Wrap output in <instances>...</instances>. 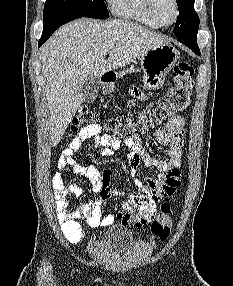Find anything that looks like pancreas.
Segmentation results:
<instances>
[{
    "label": "pancreas",
    "instance_id": "cf45deb5",
    "mask_svg": "<svg viewBox=\"0 0 233 286\" xmlns=\"http://www.w3.org/2000/svg\"><path fill=\"white\" fill-rule=\"evenodd\" d=\"M130 72H132V70H130V69H124L123 71H121L120 72V77H122V76H124V75H126V74H128V73H130Z\"/></svg>",
    "mask_w": 233,
    "mask_h": 286
}]
</instances>
